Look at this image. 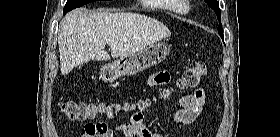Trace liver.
Returning <instances> with one entry per match:
<instances>
[{"label":"liver","instance_id":"liver-1","mask_svg":"<svg viewBox=\"0 0 280 137\" xmlns=\"http://www.w3.org/2000/svg\"><path fill=\"white\" fill-rule=\"evenodd\" d=\"M171 35L161 22L136 13H88L76 9L62 20L58 33L60 70L67 75L91 60L106 61L135 54Z\"/></svg>","mask_w":280,"mask_h":137}]
</instances>
